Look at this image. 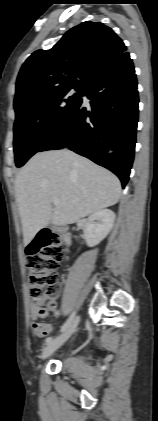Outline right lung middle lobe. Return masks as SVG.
Listing matches in <instances>:
<instances>
[{"mask_svg":"<svg viewBox=\"0 0 158 421\" xmlns=\"http://www.w3.org/2000/svg\"><path fill=\"white\" fill-rule=\"evenodd\" d=\"M78 93L71 95L70 90ZM84 87H67L30 96L14 105V153L21 167L53 135L81 101Z\"/></svg>","mask_w":158,"mask_h":421,"instance_id":"dd1d6c3e","label":"right lung middle lobe"}]
</instances>
